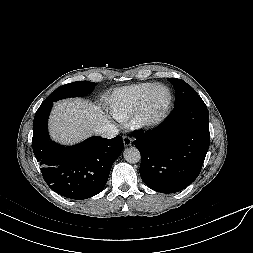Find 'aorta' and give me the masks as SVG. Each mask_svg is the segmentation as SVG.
<instances>
[{
    "mask_svg": "<svg viewBox=\"0 0 253 253\" xmlns=\"http://www.w3.org/2000/svg\"><path fill=\"white\" fill-rule=\"evenodd\" d=\"M123 156L128 163H137L141 159L140 151L136 147L126 148L123 152Z\"/></svg>",
    "mask_w": 253,
    "mask_h": 253,
    "instance_id": "1",
    "label": "aorta"
}]
</instances>
